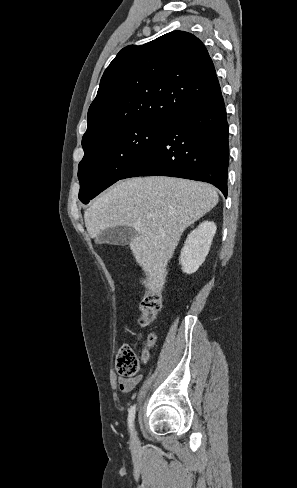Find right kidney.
<instances>
[{"instance_id":"right-kidney-1","label":"right kidney","mask_w":297,"mask_h":488,"mask_svg":"<svg viewBox=\"0 0 297 488\" xmlns=\"http://www.w3.org/2000/svg\"><path fill=\"white\" fill-rule=\"evenodd\" d=\"M215 233L216 224L205 221L188 235L179 258L184 273H194L202 265Z\"/></svg>"}]
</instances>
